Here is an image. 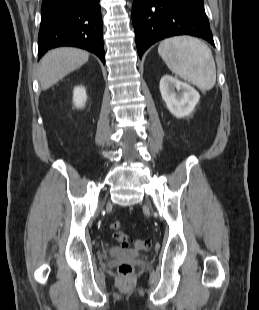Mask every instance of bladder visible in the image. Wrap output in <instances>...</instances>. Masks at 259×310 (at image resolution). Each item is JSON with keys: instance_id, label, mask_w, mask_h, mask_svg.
<instances>
[{"instance_id": "1", "label": "bladder", "mask_w": 259, "mask_h": 310, "mask_svg": "<svg viewBox=\"0 0 259 310\" xmlns=\"http://www.w3.org/2000/svg\"><path fill=\"white\" fill-rule=\"evenodd\" d=\"M108 254L114 258H121V259H127V260L135 259L140 255L136 251L128 250V249H124V248L116 247V246L110 247L108 250Z\"/></svg>"}]
</instances>
